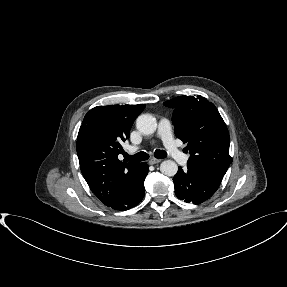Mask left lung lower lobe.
I'll return each mask as SVG.
<instances>
[{
  "mask_svg": "<svg viewBox=\"0 0 287 287\" xmlns=\"http://www.w3.org/2000/svg\"><path fill=\"white\" fill-rule=\"evenodd\" d=\"M223 176L187 166L179 167L173 181L176 196L188 203L200 204L209 199L219 188Z\"/></svg>",
  "mask_w": 287,
  "mask_h": 287,
  "instance_id": "0a47b994",
  "label": "left lung lower lobe"
}]
</instances>
